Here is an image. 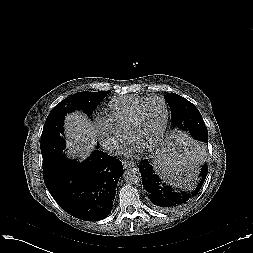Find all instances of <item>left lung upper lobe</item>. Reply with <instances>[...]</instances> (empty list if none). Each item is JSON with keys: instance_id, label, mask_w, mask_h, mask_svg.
<instances>
[{"instance_id": "5c2ea615", "label": "left lung upper lobe", "mask_w": 253, "mask_h": 253, "mask_svg": "<svg viewBox=\"0 0 253 253\" xmlns=\"http://www.w3.org/2000/svg\"><path fill=\"white\" fill-rule=\"evenodd\" d=\"M165 100L171 109L172 127L189 132L194 138V144L204 151L208 142V131L199 110L193 103L175 93H167Z\"/></svg>"}]
</instances>
